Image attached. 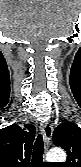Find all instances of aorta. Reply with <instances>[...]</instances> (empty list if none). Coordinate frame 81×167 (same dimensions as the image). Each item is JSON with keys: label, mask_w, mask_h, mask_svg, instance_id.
<instances>
[{"label": "aorta", "mask_w": 81, "mask_h": 167, "mask_svg": "<svg viewBox=\"0 0 81 167\" xmlns=\"http://www.w3.org/2000/svg\"><path fill=\"white\" fill-rule=\"evenodd\" d=\"M46 159L49 162H64L66 160V153L62 149L54 148L48 152Z\"/></svg>", "instance_id": "obj_1"}]
</instances>
